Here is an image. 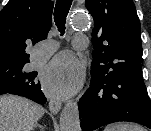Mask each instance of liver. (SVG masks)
<instances>
[{"mask_svg":"<svg viewBox=\"0 0 151 131\" xmlns=\"http://www.w3.org/2000/svg\"><path fill=\"white\" fill-rule=\"evenodd\" d=\"M45 109L15 95L0 96V131H33Z\"/></svg>","mask_w":151,"mask_h":131,"instance_id":"liver-1","label":"liver"}]
</instances>
